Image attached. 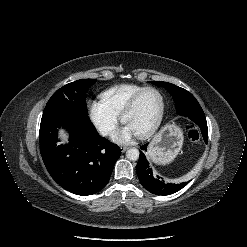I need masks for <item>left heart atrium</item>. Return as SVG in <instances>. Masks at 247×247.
Masks as SVG:
<instances>
[{"label": "left heart atrium", "instance_id": "39dd6f15", "mask_svg": "<svg viewBox=\"0 0 247 247\" xmlns=\"http://www.w3.org/2000/svg\"><path fill=\"white\" fill-rule=\"evenodd\" d=\"M134 135H136V133L132 128L125 125L113 135V139L117 142L124 143L130 141Z\"/></svg>", "mask_w": 247, "mask_h": 247}]
</instances>
